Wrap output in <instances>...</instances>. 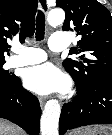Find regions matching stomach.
Returning a JSON list of instances; mask_svg holds the SVG:
<instances>
[{
    "label": "stomach",
    "instance_id": "obj_1",
    "mask_svg": "<svg viewBox=\"0 0 112 135\" xmlns=\"http://www.w3.org/2000/svg\"><path fill=\"white\" fill-rule=\"evenodd\" d=\"M69 135H112V127L105 125H92L73 131Z\"/></svg>",
    "mask_w": 112,
    "mask_h": 135
}]
</instances>
